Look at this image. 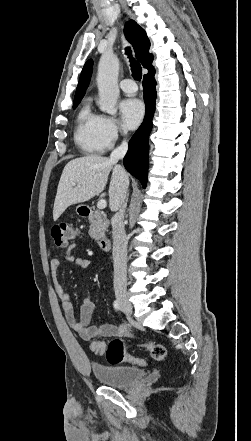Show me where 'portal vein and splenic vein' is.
Here are the masks:
<instances>
[{"instance_id": "portal-vein-and-splenic-vein-1", "label": "portal vein and splenic vein", "mask_w": 251, "mask_h": 441, "mask_svg": "<svg viewBox=\"0 0 251 441\" xmlns=\"http://www.w3.org/2000/svg\"><path fill=\"white\" fill-rule=\"evenodd\" d=\"M106 206H107V202H106L105 199H101L97 203V208L98 209H104Z\"/></svg>"}]
</instances>
